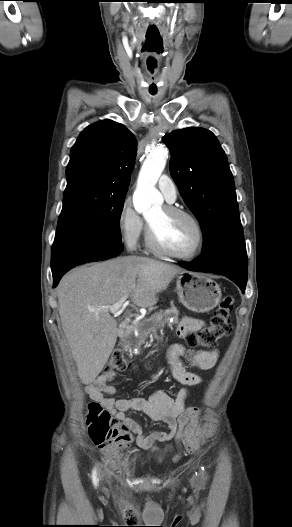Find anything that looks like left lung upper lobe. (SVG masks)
I'll return each instance as SVG.
<instances>
[{
  "mask_svg": "<svg viewBox=\"0 0 292 527\" xmlns=\"http://www.w3.org/2000/svg\"><path fill=\"white\" fill-rule=\"evenodd\" d=\"M170 172L203 230L202 254L245 245L232 173L215 135L203 128L168 133Z\"/></svg>",
  "mask_w": 292,
  "mask_h": 527,
  "instance_id": "obj_1",
  "label": "left lung upper lobe"
}]
</instances>
